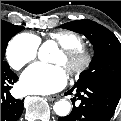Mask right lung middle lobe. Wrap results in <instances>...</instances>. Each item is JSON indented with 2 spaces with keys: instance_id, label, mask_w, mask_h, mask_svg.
<instances>
[{
  "instance_id": "obj_1",
  "label": "right lung middle lobe",
  "mask_w": 121,
  "mask_h": 121,
  "mask_svg": "<svg viewBox=\"0 0 121 121\" xmlns=\"http://www.w3.org/2000/svg\"><path fill=\"white\" fill-rule=\"evenodd\" d=\"M24 27L16 26L6 21L1 20V66H8V63L4 62L5 49L9 40Z\"/></svg>"
}]
</instances>
